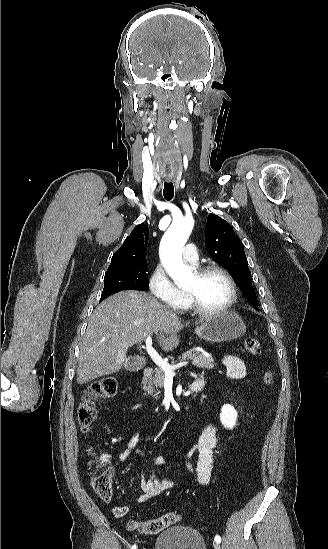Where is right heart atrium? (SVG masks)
<instances>
[{"instance_id": "obj_1", "label": "right heart atrium", "mask_w": 328, "mask_h": 549, "mask_svg": "<svg viewBox=\"0 0 328 549\" xmlns=\"http://www.w3.org/2000/svg\"><path fill=\"white\" fill-rule=\"evenodd\" d=\"M148 289L153 303H170L176 295V287L160 262L150 269Z\"/></svg>"}]
</instances>
